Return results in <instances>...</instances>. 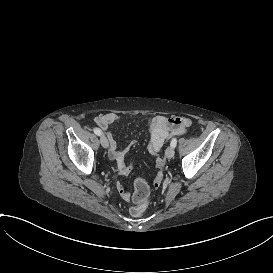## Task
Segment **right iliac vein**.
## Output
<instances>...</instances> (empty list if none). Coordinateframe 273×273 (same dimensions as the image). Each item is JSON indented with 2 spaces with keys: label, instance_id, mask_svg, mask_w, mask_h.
<instances>
[{
  "label": "right iliac vein",
  "instance_id": "1",
  "mask_svg": "<svg viewBox=\"0 0 273 273\" xmlns=\"http://www.w3.org/2000/svg\"><path fill=\"white\" fill-rule=\"evenodd\" d=\"M100 142L104 148H107L109 146L108 140L104 135L100 137Z\"/></svg>",
  "mask_w": 273,
  "mask_h": 273
}]
</instances>
